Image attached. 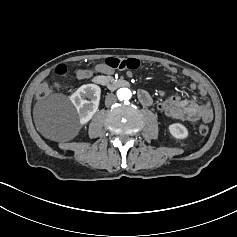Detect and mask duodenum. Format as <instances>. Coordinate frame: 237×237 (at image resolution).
Here are the masks:
<instances>
[{"label":"duodenum","instance_id":"duodenum-1","mask_svg":"<svg viewBox=\"0 0 237 237\" xmlns=\"http://www.w3.org/2000/svg\"><path fill=\"white\" fill-rule=\"evenodd\" d=\"M93 82L102 87L107 88H121L129 86V82L123 79H113L106 75H97L93 78Z\"/></svg>","mask_w":237,"mask_h":237}]
</instances>
